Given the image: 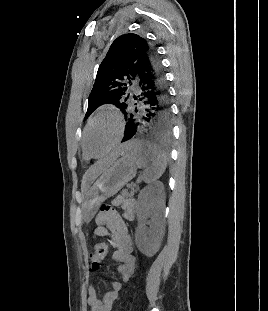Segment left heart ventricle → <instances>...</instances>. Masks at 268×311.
Here are the masks:
<instances>
[{
    "label": "left heart ventricle",
    "mask_w": 268,
    "mask_h": 311,
    "mask_svg": "<svg viewBox=\"0 0 268 311\" xmlns=\"http://www.w3.org/2000/svg\"><path fill=\"white\" fill-rule=\"evenodd\" d=\"M117 133L115 120L110 116H103L90 127L86 136V148L92 155L103 153L114 140Z\"/></svg>",
    "instance_id": "obj_1"
}]
</instances>
